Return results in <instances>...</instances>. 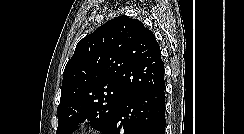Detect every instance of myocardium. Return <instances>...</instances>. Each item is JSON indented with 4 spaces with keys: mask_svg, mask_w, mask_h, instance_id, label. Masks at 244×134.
<instances>
[{
    "mask_svg": "<svg viewBox=\"0 0 244 134\" xmlns=\"http://www.w3.org/2000/svg\"><path fill=\"white\" fill-rule=\"evenodd\" d=\"M74 134H106V133L100 129L90 127L87 129H83V130H81L77 133H74Z\"/></svg>",
    "mask_w": 244,
    "mask_h": 134,
    "instance_id": "myocardium-1",
    "label": "myocardium"
}]
</instances>
